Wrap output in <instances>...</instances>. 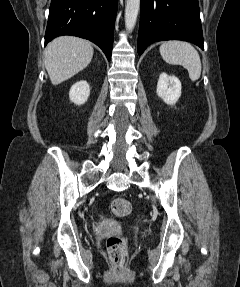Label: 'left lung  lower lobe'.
I'll return each instance as SVG.
<instances>
[{
  "mask_svg": "<svg viewBox=\"0 0 240 287\" xmlns=\"http://www.w3.org/2000/svg\"><path fill=\"white\" fill-rule=\"evenodd\" d=\"M170 39L204 49L198 0H141L138 54L153 42Z\"/></svg>",
  "mask_w": 240,
  "mask_h": 287,
  "instance_id": "1",
  "label": "left lung lower lobe"
}]
</instances>
